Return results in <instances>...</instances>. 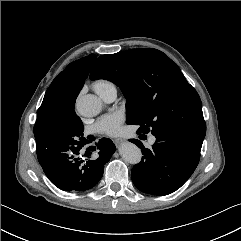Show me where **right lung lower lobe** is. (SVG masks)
<instances>
[{"instance_id": "obj_1", "label": "right lung lower lobe", "mask_w": 241, "mask_h": 241, "mask_svg": "<svg viewBox=\"0 0 241 241\" xmlns=\"http://www.w3.org/2000/svg\"><path fill=\"white\" fill-rule=\"evenodd\" d=\"M40 126L35 123L34 131L39 134ZM35 135L37 157L49 180L64 191H85L94 187L101 179L104 165L115 152V145L108 138L99 140V156L95 160L80 158L78 147L44 144ZM96 150V148H95Z\"/></svg>"}]
</instances>
